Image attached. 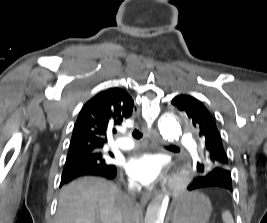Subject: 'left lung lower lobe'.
Returning <instances> with one entry per match:
<instances>
[{"instance_id":"left-lung-lower-lobe-1","label":"left lung lower lobe","mask_w":267,"mask_h":223,"mask_svg":"<svg viewBox=\"0 0 267 223\" xmlns=\"http://www.w3.org/2000/svg\"><path fill=\"white\" fill-rule=\"evenodd\" d=\"M188 181L193 182L188 186L190 192H206L213 195H230L235 187L232 173H222V171L191 173Z\"/></svg>"}]
</instances>
